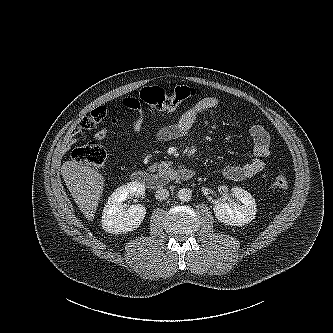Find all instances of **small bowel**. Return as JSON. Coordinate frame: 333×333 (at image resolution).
<instances>
[{
	"label": "small bowel",
	"instance_id": "obj_1",
	"mask_svg": "<svg viewBox=\"0 0 333 333\" xmlns=\"http://www.w3.org/2000/svg\"><path fill=\"white\" fill-rule=\"evenodd\" d=\"M125 108L137 112L139 117L129 123L133 130H139L142 126L141 103L138 98L129 97L122 101ZM220 101L215 96H206L198 100L195 104L183 112L180 118L173 124L159 128L154 139L157 142H167L185 136L194 126L198 116L209 110L218 108ZM108 114L106 106H98L91 113L84 117L79 124L70 129L65 137V146L70 148L77 143L85 130L92 129L101 123ZM112 126H118L119 122L115 119L110 120ZM109 134V129L103 127L95 133V139L104 140ZM249 134L253 142V156L243 164H231L223 168V175L232 181H240L250 178L260 173L265 167V159L270 154V135L268 131L259 124L252 125Z\"/></svg>",
	"mask_w": 333,
	"mask_h": 333
}]
</instances>
